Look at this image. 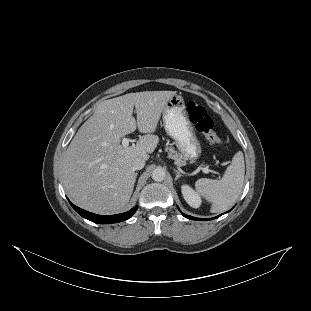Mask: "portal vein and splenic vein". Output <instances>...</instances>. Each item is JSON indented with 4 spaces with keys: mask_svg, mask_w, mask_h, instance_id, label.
<instances>
[{
    "mask_svg": "<svg viewBox=\"0 0 311 311\" xmlns=\"http://www.w3.org/2000/svg\"><path fill=\"white\" fill-rule=\"evenodd\" d=\"M129 143H130V138H128V137L123 138L122 145L124 147H127L129 145ZM202 170H203V172L205 174H209L210 173V170L208 168H206V167L202 168Z\"/></svg>",
    "mask_w": 311,
    "mask_h": 311,
    "instance_id": "obj_1",
    "label": "portal vein and splenic vein"
}]
</instances>
